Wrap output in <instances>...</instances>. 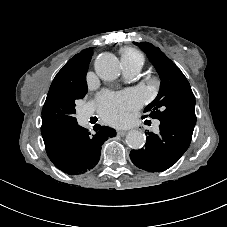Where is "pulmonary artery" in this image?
<instances>
[{
    "label": "pulmonary artery",
    "mask_w": 227,
    "mask_h": 227,
    "mask_svg": "<svg viewBox=\"0 0 227 227\" xmlns=\"http://www.w3.org/2000/svg\"><path fill=\"white\" fill-rule=\"evenodd\" d=\"M122 65H123V73L126 78H132V77L136 76L141 69L140 65L135 64V63H129L125 60H122ZM89 115H90L89 112L84 113L85 117H88ZM158 126H159V123L157 122L155 124L154 128L158 129Z\"/></svg>",
    "instance_id": "1"
}]
</instances>
